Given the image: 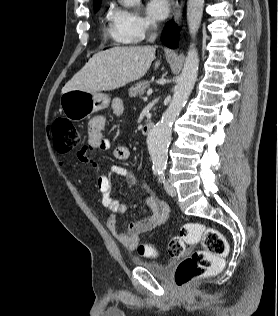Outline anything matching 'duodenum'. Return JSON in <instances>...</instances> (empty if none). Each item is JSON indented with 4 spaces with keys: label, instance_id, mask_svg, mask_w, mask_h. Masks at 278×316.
I'll return each instance as SVG.
<instances>
[{
    "label": "duodenum",
    "instance_id": "410a0bca",
    "mask_svg": "<svg viewBox=\"0 0 278 316\" xmlns=\"http://www.w3.org/2000/svg\"><path fill=\"white\" fill-rule=\"evenodd\" d=\"M154 126H155V122H153V121H150V122L145 123V124L143 125V127H142V133H143L144 135L150 134V132L152 131V129L154 128Z\"/></svg>",
    "mask_w": 278,
    "mask_h": 316
}]
</instances>
